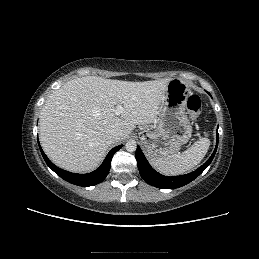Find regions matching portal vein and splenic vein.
<instances>
[{
	"mask_svg": "<svg viewBox=\"0 0 259 259\" xmlns=\"http://www.w3.org/2000/svg\"><path fill=\"white\" fill-rule=\"evenodd\" d=\"M124 111V108L121 105H118L115 110L116 115H120Z\"/></svg>",
	"mask_w": 259,
	"mask_h": 259,
	"instance_id": "obj_1",
	"label": "portal vein and splenic vein"
}]
</instances>
